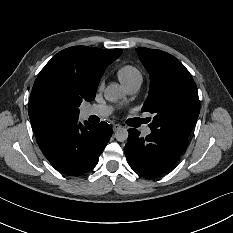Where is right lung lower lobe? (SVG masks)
I'll return each mask as SVG.
<instances>
[{
  "instance_id": "1",
  "label": "right lung lower lobe",
  "mask_w": 233,
  "mask_h": 233,
  "mask_svg": "<svg viewBox=\"0 0 233 233\" xmlns=\"http://www.w3.org/2000/svg\"><path fill=\"white\" fill-rule=\"evenodd\" d=\"M38 145L48 161L60 172L80 176L98 163L111 135L106 122L92 125L68 119L35 132Z\"/></svg>"
}]
</instances>
